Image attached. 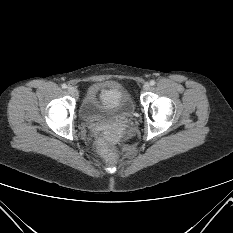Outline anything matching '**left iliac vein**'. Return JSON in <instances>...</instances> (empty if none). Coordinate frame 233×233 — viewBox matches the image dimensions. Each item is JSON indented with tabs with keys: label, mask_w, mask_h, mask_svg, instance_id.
<instances>
[{
	"label": "left iliac vein",
	"mask_w": 233,
	"mask_h": 233,
	"mask_svg": "<svg viewBox=\"0 0 233 233\" xmlns=\"http://www.w3.org/2000/svg\"><path fill=\"white\" fill-rule=\"evenodd\" d=\"M143 90H144V91L150 90V84H149L148 82H146V83L143 85Z\"/></svg>",
	"instance_id": "obj_1"
}]
</instances>
